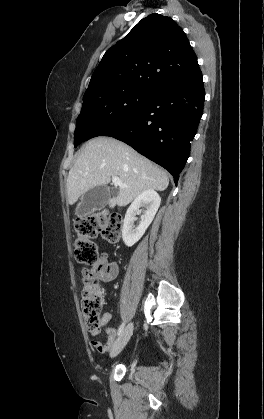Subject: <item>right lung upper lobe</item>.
I'll return each instance as SVG.
<instances>
[{
  "mask_svg": "<svg viewBox=\"0 0 264 419\" xmlns=\"http://www.w3.org/2000/svg\"><path fill=\"white\" fill-rule=\"evenodd\" d=\"M189 41L170 17L151 14L107 50L85 95L128 88L155 91L201 77Z\"/></svg>",
  "mask_w": 264,
  "mask_h": 419,
  "instance_id": "right-lung-upper-lobe-1",
  "label": "right lung upper lobe"
}]
</instances>
